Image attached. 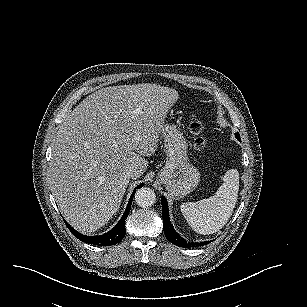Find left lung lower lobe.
Wrapping results in <instances>:
<instances>
[{"label":"left lung lower lobe","instance_id":"obj_1","mask_svg":"<svg viewBox=\"0 0 307 307\" xmlns=\"http://www.w3.org/2000/svg\"><path fill=\"white\" fill-rule=\"evenodd\" d=\"M161 203H162V217H163V228L164 233L168 241H170L172 244L181 246L184 248H190L195 246H203L208 244L210 241H204L201 243H190L181 238L174 230L168 214V204L167 200L164 196L161 197Z\"/></svg>","mask_w":307,"mask_h":307}]
</instances>
